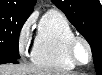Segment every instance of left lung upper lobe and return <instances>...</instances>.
<instances>
[{
    "label": "left lung upper lobe",
    "instance_id": "left-lung-upper-lobe-1",
    "mask_svg": "<svg viewBox=\"0 0 102 75\" xmlns=\"http://www.w3.org/2000/svg\"><path fill=\"white\" fill-rule=\"evenodd\" d=\"M91 46L95 70L102 74V7L99 0H52Z\"/></svg>",
    "mask_w": 102,
    "mask_h": 75
}]
</instances>
